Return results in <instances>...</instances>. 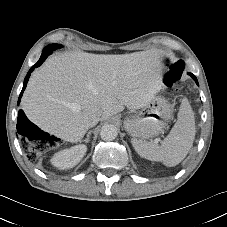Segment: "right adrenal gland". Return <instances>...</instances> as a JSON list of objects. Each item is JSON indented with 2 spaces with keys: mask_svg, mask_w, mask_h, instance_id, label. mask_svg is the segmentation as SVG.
Masks as SVG:
<instances>
[{
  "mask_svg": "<svg viewBox=\"0 0 227 227\" xmlns=\"http://www.w3.org/2000/svg\"><path fill=\"white\" fill-rule=\"evenodd\" d=\"M90 134H91V132H88L86 138L82 142L88 143Z\"/></svg>",
  "mask_w": 227,
  "mask_h": 227,
  "instance_id": "right-adrenal-gland-1",
  "label": "right adrenal gland"
}]
</instances>
